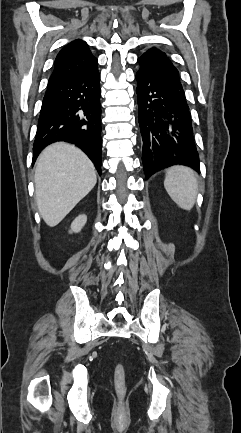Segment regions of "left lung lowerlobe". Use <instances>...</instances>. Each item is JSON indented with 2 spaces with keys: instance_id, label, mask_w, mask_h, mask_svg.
Wrapping results in <instances>:
<instances>
[{
  "instance_id": "0a47b994",
  "label": "left lung lower lobe",
  "mask_w": 241,
  "mask_h": 433,
  "mask_svg": "<svg viewBox=\"0 0 241 433\" xmlns=\"http://www.w3.org/2000/svg\"><path fill=\"white\" fill-rule=\"evenodd\" d=\"M136 80L145 176L177 164L199 172L190 109L175 82L162 73L142 70Z\"/></svg>"
}]
</instances>
